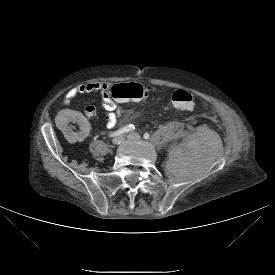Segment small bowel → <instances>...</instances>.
Masks as SVG:
<instances>
[{"mask_svg": "<svg viewBox=\"0 0 275 275\" xmlns=\"http://www.w3.org/2000/svg\"><path fill=\"white\" fill-rule=\"evenodd\" d=\"M113 87V84L110 82L82 83L71 88L66 93L64 103L70 104L79 95L88 93L99 94L100 105L106 113V127L112 129L115 127L118 117L121 114V108L111 94ZM84 114L78 108H73L70 111L65 109L58 110L56 113L57 119L55 121L58 132L72 143L81 144L90 132L87 118L96 117L97 110L94 106H87L84 110Z\"/></svg>", "mask_w": 275, "mask_h": 275, "instance_id": "obj_1", "label": "small bowel"}]
</instances>
